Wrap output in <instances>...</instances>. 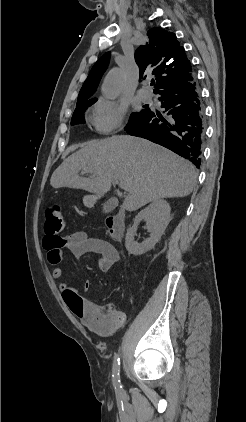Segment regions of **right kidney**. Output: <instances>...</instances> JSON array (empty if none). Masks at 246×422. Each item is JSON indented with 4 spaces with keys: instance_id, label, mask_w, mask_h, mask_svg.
Returning a JSON list of instances; mask_svg holds the SVG:
<instances>
[{
    "instance_id": "right-kidney-1",
    "label": "right kidney",
    "mask_w": 246,
    "mask_h": 422,
    "mask_svg": "<svg viewBox=\"0 0 246 422\" xmlns=\"http://www.w3.org/2000/svg\"><path fill=\"white\" fill-rule=\"evenodd\" d=\"M170 211L171 208L167 201L157 200L139 212L134 219L133 226L129 228L126 234L125 246L127 251L133 255H142L154 248L170 222ZM142 220L147 222V230L150 232V236L142 243H138L134 240V236Z\"/></svg>"
}]
</instances>
